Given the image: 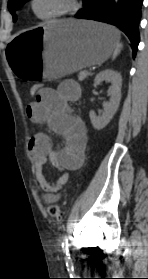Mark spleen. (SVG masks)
Wrapping results in <instances>:
<instances>
[{
  "instance_id": "obj_1",
  "label": "spleen",
  "mask_w": 148,
  "mask_h": 279,
  "mask_svg": "<svg viewBox=\"0 0 148 279\" xmlns=\"http://www.w3.org/2000/svg\"><path fill=\"white\" fill-rule=\"evenodd\" d=\"M123 45L122 43L118 42L117 45H116V48L113 52V59H115L117 57V55L121 52V49H122Z\"/></svg>"
}]
</instances>
